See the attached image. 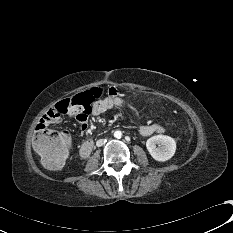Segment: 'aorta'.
I'll use <instances>...</instances> for the list:
<instances>
[{"mask_svg": "<svg viewBox=\"0 0 233 233\" xmlns=\"http://www.w3.org/2000/svg\"><path fill=\"white\" fill-rule=\"evenodd\" d=\"M121 135H122L121 131H115V133H114V136H115L116 138H120Z\"/></svg>", "mask_w": 233, "mask_h": 233, "instance_id": "obj_1", "label": "aorta"}]
</instances>
